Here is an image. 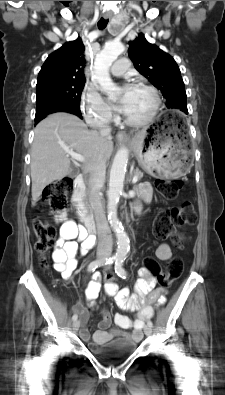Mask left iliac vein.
<instances>
[{
    "mask_svg": "<svg viewBox=\"0 0 225 395\" xmlns=\"http://www.w3.org/2000/svg\"><path fill=\"white\" fill-rule=\"evenodd\" d=\"M144 333L145 335L150 336L152 334V328L149 325H146L144 327Z\"/></svg>",
    "mask_w": 225,
    "mask_h": 395,
    "instance_id": "1",
    "label": "left iliac vein"
}]
</instances>
